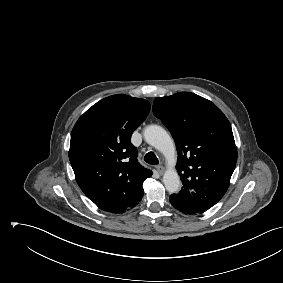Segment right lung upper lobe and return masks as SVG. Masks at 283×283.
I'll return each mask as SVG.
<instances>
[{
	"instance_id": "cb5924a9",
	"label": "right lung upper lobe",
	"mask_w": 283,
	"mask_h": 283,
	"mask_svg": "<svg viewBox=\"0 0 283 283\" xmlns=\"http://www.w3.org/2000/svg\"><path fill=\"white\" fill-rule=\"evenodd\" d=\"M149 111L147 100L112 95L88 109L72 130L69 160L76 181L104 211L122 213L144 195L142 184L152 171L138 163L131 135Z\"/></svg>"
}]
</instances>
